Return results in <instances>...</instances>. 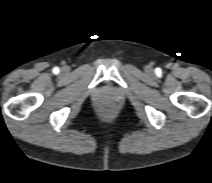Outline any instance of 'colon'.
<instances>
[{"label":"colon","instance_id":"colon-1","mask_svg":"<svg viewBox=\"0 0 212 183\" xmlns=\"http://www.w3.org/2000/svg\"><path fill=\"white\" fill-rule=\"evenodd\" d=\"M105 111H106V112H110V111H111V107H110V106H106V107H105Z\"/></svg>","mask_w":212,"mask_h":183}]
</instances>
